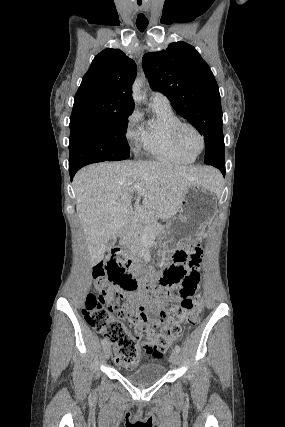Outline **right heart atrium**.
<instances>
[{"label":"right heart atrium","mask_w":285,"mask_h":427,"mask_svg":"<svg viewBox=\"0 0 285 427\" xmlns=\"http://www.w3.org/2000/svg\"><path fill=\"white\" fill-rule=\"evenodd\" d=\"M139 120V115L137 112L131 113V115L128 118V125L126 129V138L128 140L134 139L138 137L139 129L135 128V125L137 121Z\"/></svg>","instance_id":"right-heart-atrium-1"}]
</instances>
